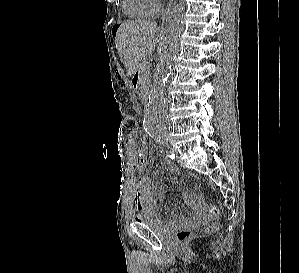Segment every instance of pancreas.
<instances>
[{"label": "pancreas", "mask_w": 299, "mask_h": 273, "mask_svg": "<svg viewBox=\"0 0 299 273\" xmlns=\"http://www.w3.org/2000/svg\"><path fill=\"white\" fill-rule=\"evenodd\" d=\"M139 70H140V78L142 82L143 88L147 87L149 82H150V76H151V71H150V66L147 61H142L141 64L139 65Z\"/></svg>", "instance_id": "1"}]
</instances>
